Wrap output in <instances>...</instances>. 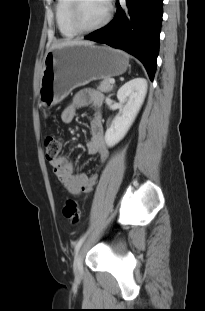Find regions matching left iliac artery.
Returning a JSON list of instances; mask_svg holds the SVG:
<instances>
[{
    "label": "left iliac artery",
    "mask_w": 205,
    "mask_h": 311,
    "mask_svg": "<svg viewBox=\"0 0 205 311\" xmlns=\"http://www.w3.org/2000/svg\"><path fill=\"white\" fill-rule=\"evenodd\" d=\"M89 233V231L87 233H85L76 243L75 245V253H77L81 247V245L83 244L87 234Z\"/></svg>",
    "instance_id": "left-iliac-artery-1"
}]
</instances>
